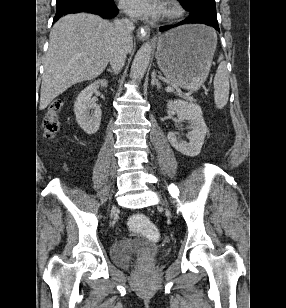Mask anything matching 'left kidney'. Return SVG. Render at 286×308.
<instances>
[{
    "label": "left kidney",
    "instance_id": "left-kidney-1",
    "mask_svg": "<svg viewBox=\"0 0 286 308\" xmlns=\"http://www.w3.org/2000/svg\"><path fill=\"white\" fill-rule=\"evenodd\" d=\"M167 108L177 114L180 120H187L190 124L189 142L180 140L176 133L170 131L167 138L171 145L184 155L197 156L202 148L208 128L204 122L199 105L184 100L168 101Z\"/></svg>",
    "mask_w": 286,
    "mask_h": 308
}]
</instances>
